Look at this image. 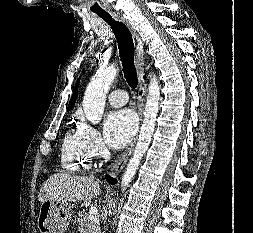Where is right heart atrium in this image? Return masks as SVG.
Returning <instances> with one entry per match:
<instances>
[{
  "mask_svg": "<svg viewBox=\"0 0 253 233\" xmlns=\"http://www.w3.org/2000/svg\"><path fill=\"white\" fill-rule=\"evenodd\" d=\"M80 129L86 138L92 156L96 158L103 157L106 153V147L99 131L85 123L81 125Z\"/></svg>",
  "mask_w": 253,
  "mask_h": 233,
  "instance_id": "right-heart-atrium-1",
  "label": "right heart atrium"
}]
</instances>
